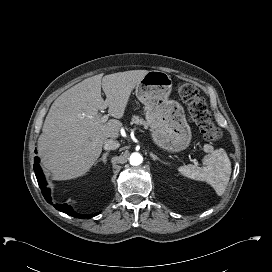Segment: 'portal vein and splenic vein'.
<instances>
[{
  "label": "portal vein and splenic vein",
  "instance_id": "portal-vein-and-splenic-vein-1",
  "mask_svg": "<svg viewBox=\"0 0 272 272\" xmlns=\"http://www.w3.org/2000/svg\"><path fill=\"white\" fill-rule=\"evenodd\" d=\"M101 120H102V122H106V121L108 120V115H106V114L103 115V116L101 117ZM194 163L197 164V163H198L197 160L194 159Z\"/></svg>",
  "mask_w": 272,
  "mask_h": 272
}]
</instances>
